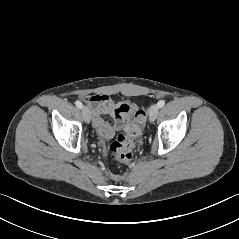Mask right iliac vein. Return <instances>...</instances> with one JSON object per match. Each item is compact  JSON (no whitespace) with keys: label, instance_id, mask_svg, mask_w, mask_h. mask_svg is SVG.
Instances as JSON below:
<instances>
[{"label":"right iliac vein","instance_id":"obj_1","mask_svg":"<svg viewBox=\"0 0 239 239\" xmlns=\"http://www.w3.org/2000/svg\"><path fill=\"white\" fill-rule=\"evenodd\" d=\"M82 115H83L84 121H85L86 123H89L90 120H91V113H90V110H89L86 106H84V107L82 108Z\"/></svg>","mask_w":239,"mask_h":239}]
</instances>
